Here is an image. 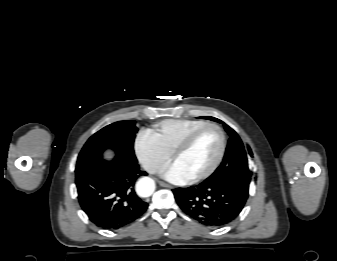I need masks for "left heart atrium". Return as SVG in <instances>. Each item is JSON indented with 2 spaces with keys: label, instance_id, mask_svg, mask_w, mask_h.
<instances>
[{
  "label": "left heart atrium",
  "instance_id": "1",
  "mask_svg": "<svg viewBox=\"0 0 337 261\" xmlns=\"http://www.w3.org/2000/svg\"><path fill=\"white\" fill-rule=\"evenodd\" d=\"M161 175L166 180L175 184H184L191 179L175 161L165 166L161 171Z\"/></svg>",
  "mask_w": 337,
  "mask_h": 261
}]
</instances>
